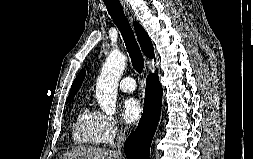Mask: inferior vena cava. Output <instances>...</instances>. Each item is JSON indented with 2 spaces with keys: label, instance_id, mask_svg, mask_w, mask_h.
I'll use <instances>...</instances> for the list:
<instances>
[{
  "label": "inferior vena cava",
  "instance_id": "1",
  "mask_svg": "<svg viewBox=\"0 0 253 159\" xmlns=\"http://www.w3.org/2000/svg\"><path fill=\"white\" fill-rule=\"evenodd\" d=\"M124 141H125V134L123 132H120V134L118 136V140H117V148H118L117 153L118 154H121V148L124 144Z\"/></svg>",
  "mask_w": 253,
  "mask_h": 159
}]
</instances>
